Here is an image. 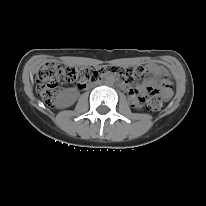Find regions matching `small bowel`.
I'll return each mask as SVG.
<instances>
[{"label":"small bowel","instance_id":"obj_1","mask_svg":"<svg viewBox=\"0 0 206 206\" xmlns=\"http://www.w3.org/2000/svg\"><path fill=\"white\" fill-rule=\"evenodd\" d=\"M151 71L155 76H163L166 74V69L162 66H159V65H152ZM143 90H144V87L130 88L128 90V93H129L130 97L134 101H136L137 97L143 92Z\"/></svg>","mask_w":206,"mask_h":206}]
</instances>
